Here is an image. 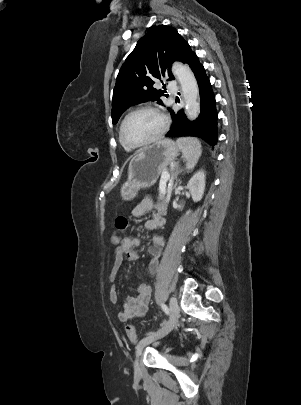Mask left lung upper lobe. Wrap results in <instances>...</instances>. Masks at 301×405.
Listing matches in <instances>:
<instances>
[{
    "mask_svg": "<svg viewBox=\"0 0 301 405\" xmlns=\"http://www.w3.org/2000/svg\"><path fill=\"white\" fill-rule=\"evenodd\" d=\"M193 53L175 28L166 25L151 28L137 42L119 71L113 91L112 123L116 124L132 105L147 101L163 105L164 91L153 87L155 81L166 75L173 80L170 64L174 61L187 63Z\"/></svg>",
    "mask_w": 301,
    "mask_h": 405,
    "instance_id": "obj_1",
    "label": "left lung upper lobe"
}]
</instances>
